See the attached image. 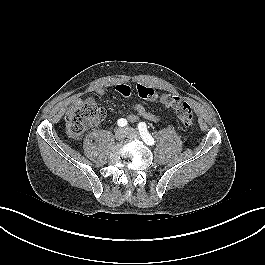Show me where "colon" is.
<instances>
[{
	"instance_id": "5ec220e1",
	"label": "colon",
	"mask_w": 265,
	"mask_h": 265,
	"mask_svg": "<svg viewBox=\"0 0 265 265\" xmlns=\"http://www.w3.org/2000/svg\"><path fill=\"white\" fill-rule=\"evenodd\" d=\"M136 93L144 100L156 101L161 99L165 105L176 111L182 125L189 127L193 124L192 108L188 102L182 100L179 96L175 94L162 96L153 88L143 84L136 86ZM104 116V109L94 101H87L70 108L65 117L68 136L72 139L80 138L88 126L98 123Z\"/></svg>"
}]
</instances>
